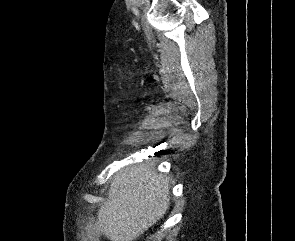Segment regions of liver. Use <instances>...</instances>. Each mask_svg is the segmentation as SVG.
<instances>
[{"label":"liver","instance_id":"1","mask_svg":"<svg viewBox=\"0 0 295 241\" xmlns=\"http://www.w3.org/2000/svg\"><path fill=\"white\" fill-rule=\"evenodd\" d=\"M168 183L152 163L121 169L97 212L98 229L110 241L136 240L168 210Z\"/></svg>","mask_w":295,"mask_h":241}]
</instances>
